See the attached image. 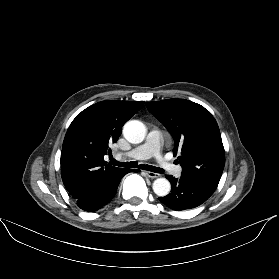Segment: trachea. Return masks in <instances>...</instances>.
Listing matches in <instances>:
<instances>
[{"label":"trachea","instance_id":"3493384b","mask_svg":"<svg viewBox=\"0 0 279 279\" xmlns=\"http://www.w3.org/2000/svg\"><path fill=\"white\" fill-rule=\"evenodd\" d=\"M111 164L115 165V166H119V167H126V168H139L142 170H147V171H151L154 173H163L164 170L159 168V167H155V166H150V165H144V164H140L138 166V163L136 161H130V162H119L116 161L115 159H111Z\"/></svg>","mask_w":279,"mask_h":279}]
</instances>
